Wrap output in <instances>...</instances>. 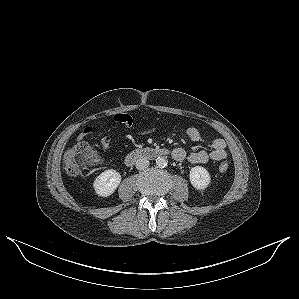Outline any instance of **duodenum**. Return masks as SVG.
<instances>
[{"instance_id":"obj_1","label":"duodenum","mask_w":299,"mask_h":299,"mask_svg":"<svg viewBox=\"0 0 299 299\" xmlns=\"http://www.w3.org/2000/svg\"><path fill=\"white\" fill-rule=\"evenodd\" d=\"M172 154L173 151H171L168 148H154V147H144L136 149L132 152H130L126 158H125V165L128 167L133 166L137 160L142 158L152 159L162 156H167Z\"/></svg>"}]
</instances>
